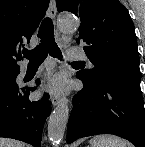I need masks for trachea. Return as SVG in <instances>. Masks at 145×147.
<instances>
[{
	"label": "trachea",
	"mask_w": 145,
	"mask_h": 147,
	"mask_svg": "<svg viewBox=\"0 0 145 147\" xmlns=\"http://www.w3.org/2000/svg\"><path fill=\"white\" fill-rule=\"evenodd\" d=\"M38 37L41 43L32 50H24L23 55L29 59V65H40L48 53L53 58H61V51L54 38V26L50 18H45L39 28ZM78 62H73L76 64Z\"/></svg>",
	"instance_id": "3493384b"
}]
</instances>
